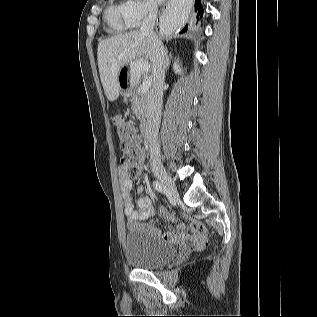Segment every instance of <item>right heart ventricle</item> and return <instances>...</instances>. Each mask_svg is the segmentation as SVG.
<instances>
[{
    "label": "right heart ventricle",
    "mask_w": 317,
    "mask_h": 317,
    "mask_svg": "<svg viewBox=\"0 0 317 317\" xmlns=\"http://www.w3.org/2000/svg\"><path fill=\"white\" fill-rule=\"evenodd\" d=\"M105 19L114 33H121L132 27L126 16L123 2H110L105 11Z\"/></svg>",
    "instance_id": "e07e8e85"
}]
</instances>
